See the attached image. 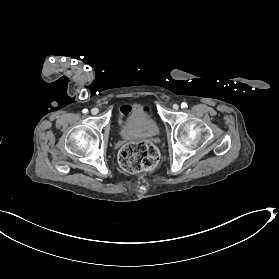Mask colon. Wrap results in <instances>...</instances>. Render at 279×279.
Here are the masks:
<instances>
[{
	"label": "colon",
	"instance_id": "5ec220e1",
	"mask_svg": "<svg viewBox=\"0 0 279 279\" xmlns=\"http://www.w3.org/2000/svg\"><path fill=\"white\" fill-rule=\"evenodd\" d=\"M157 160V150L149 142L126 144L119 152L120 165L130 173L151 170L155 167Z\"/></svg>",
	"mask_w": 279,
	"mask_h": 279
}]
</instances>
